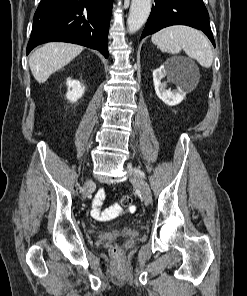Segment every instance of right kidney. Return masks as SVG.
<instances>
[{
  "label": "right kidney",
  "mask_w": 247,
  "mask_h": 296,
  "mask_svg": "<svg viewBox=\"0 0 247 296\" xmlns=\"http://www.w3.org/2000/svg\"><path fill=\"white\" fill-rule=\"evenodd\" d=\"M66 84L68 86L66 97L70 102H76L82 97L85 87L79 81L68 78Z\"/></svg>",
  "instance_id": "obj_1"
}]
</instances>
